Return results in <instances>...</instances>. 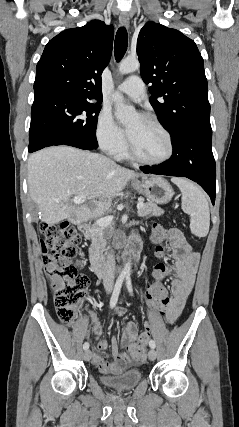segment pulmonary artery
Returning a JSON list of instances; mask_svg holds the SVG:
<instances>
[{"instance_id": "e3ab8cb5", "label": "pulmonary artery", "mask_w": 239, "mask_h": 427, "mask_svg": "<svg viewBox=\"0 0 239 427\" xmlns=\"http://www.w3.org/2000/svg\"><path fill=\"white\" fill-rule=\"evenodd\" d=\"M118 91L136 102L142 101L145 97L144 83L138 76H131L126 79L118 86Z\"/></svg>"}]
</instances>
